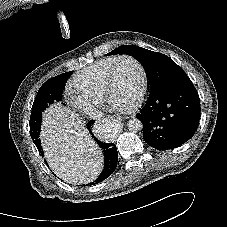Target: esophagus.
<instances>
[{"label": "esophagus", "mask_w": 227, "mask_h": 227, "mask_svg": "<svg viewBox=\"0 0 227 227\" xmlns=\"http://www.w3.org/2000/svg\"><path fill=\"white\" fill-rule=\"evenodd\" d=\"M110 118L113 120L114 123H120L121 122L120 118H116V119L115 118L113 119L112 117H110Z\"/></svg>", "instance_id": "34e87169"}]
</instances>
